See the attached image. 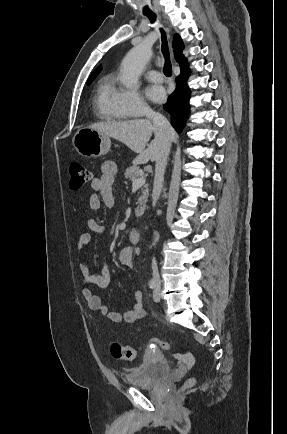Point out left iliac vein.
<instances>
[{"mask_svg":"<svg viewBox=\"0 0 287 434\" xmlns=\"http://www.w3.org/2000/svg\"><path fill=\"white\" fill-rule=\"evenodd\" d=\"M153 299L155 302L160 301V285L157 284V287L155 288L153 292Z\"/></svg>","mask_w":287,"mask_h":434,"instance_id":"obj_1","label":"left iliac vein"}]
</instances>
